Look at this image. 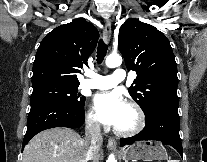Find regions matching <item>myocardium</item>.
<instances>
[{
  "label": "myocardium",
  "instance_id": "1",
  "mask_svg": "<svg viewBox=\"0 0 207 162\" xmlns=\"http://www.w3.org/2000/svg\"><path fill=\"white\" fill-rule=\"evenodd\" d=\"M125 104L130 106L131 108H133V110L136 113L137 122L134 125V127H132L131 129L122 130V129H118V128L114 127L113 130H114V133L118 136L130 137V136H134V135L138 134L140 131L143 130V128L145 127V124H146V116H145L143 109L136 101L129 99L126 101Z\"/></svg>",
  "mask_w": 207,
  "mask_h": 162
}]
</instances>
